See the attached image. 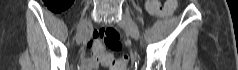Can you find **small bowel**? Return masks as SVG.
I'll use <instances>...</instances> for the list:
<instances>
[{
  "instance_id": "small-bowel-1",
  "label": "small bowel",
  "mask_w": 238,
  "mask_h": 70,
  "mask_svg": "<svg viewBox=\"0 0 238 70\" xmlns=\"http://www.w3.org/2000/svg\"><path fill=\"white\" fill-rule=\"evenodd\" d=\"M87 47L91 49V57L83 59L80 63L81 70H97L99 68L100 63L105 65V60L103 57L96 51L94 47V40L93 38L88 39ZM107 58H111L109 54L105 55Z\"/></svg>"
}]
</instances>
